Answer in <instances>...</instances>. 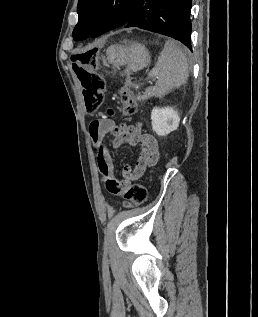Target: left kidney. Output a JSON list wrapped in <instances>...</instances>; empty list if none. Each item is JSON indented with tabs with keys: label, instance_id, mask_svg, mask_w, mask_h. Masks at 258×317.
<instances>
[{
	"label": "left kidney",
	"instance_id": "obj_1",
	"mask_svg": "<svg viewBox=\"0 0 258 317\" xmlns=\"http://www.w3.org/2000/svg\"><path fill=\"white\" fill-rule=\"evenodd\" d=\"M152 128L160 134V136H166L171 130H176L179 126L180 116L178 110H174L172 106H154L151 112Z\"/></svg>",
	"mask_w": 258,
	"mask_h": 317
}]
</instances>
